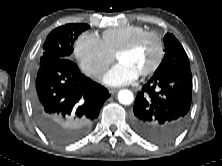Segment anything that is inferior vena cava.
I'll list each match as a JSON object with an SVG mask.
<instances>
[{"mask_svg":"<svg viewBox=\"0 0 222 166\" xmlns=\"http://www.w3.org/2000/svg\"><path fill=\"white\" fill-rule=\"evenodd\" d=\"M102 72H103L102 70H97V71H95V72L93 73V75H94L95 77H97V78H100Z\"/></svg>","mask_w":222,"mask_h":166,"instance_id":"obj_1","label":"inferior vena cava"}]
</instances>
